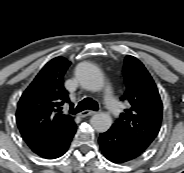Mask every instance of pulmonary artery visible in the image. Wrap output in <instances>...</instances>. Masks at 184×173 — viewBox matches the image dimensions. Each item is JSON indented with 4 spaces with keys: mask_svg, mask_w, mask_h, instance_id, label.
<instances>
[{
    "mask_svg": "<svg viewBox=\"0 0 184 173\" xmlns=\"http://www.w3.org/2000/svg\"><path fill=\"white\" fill-rule=\"evenodd\" d=\"M105 103H106V106L111 114L116 116V115H119L121 113V111H122L121 105L119 104V102H117L113 98L112 93L110 91H106Z\"/></svg>",
    "mask_w": 184,
    "mask_h": 173,
    "instance_id": "e3ab8cb5",
    "label": "pulmonary artery"
}]
</instances>
